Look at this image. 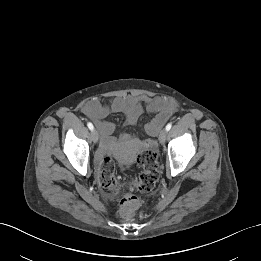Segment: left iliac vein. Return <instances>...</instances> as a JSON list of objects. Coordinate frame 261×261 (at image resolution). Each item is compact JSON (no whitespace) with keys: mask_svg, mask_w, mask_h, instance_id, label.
<instances>
[{"mask_svg":"<svg viewBox=\"0 0 261 261\" xmlns=\"http://www.w3.org/2000/svg\"><path fill=\"white\" fill-rule=\"evenodd\" d=\"M166 137H167V131H166V129L161 130L160 133H159V137H158L159 142H160V143H164L165 140H166Z\"/></svg>","mask_w":261,"mask_h":261,"instance_id":"1","label":"left iliac vein"}]
</instances>
